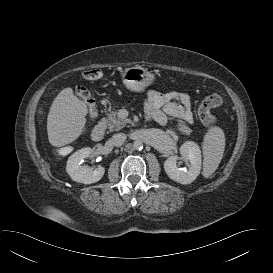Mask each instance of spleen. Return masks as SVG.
<instances>
[{"instance_id":"3e777b00","label":"spleen","mask_w":273,"mask_h":273,"mask_svg":"<svg viewBox=\"0 0 273 273\" xmlns=\"http://www.w3.org/2000/svg\"><path fill=\"white\" fill-rule=\"evenodd\" d=\"M203 176L208 178L218 168L225 150L224 131L214 126L206 132L203 143Z\"/></svg>"}]
</instances>
